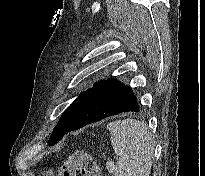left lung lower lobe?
Here are the masks:
<instances>
[{"instance_id": "obj_1", "label": "left lung lower lobe", "mask_w": 205, "mask_h": 176, "mask_svg": "<svg viewBox=\"0 0 205 176\" xmlns=\"http://www.w3.org/2000/svg\"><path fill=\"white\" fill-rule=\"evenodd\" d=\"M138 111V102L131 88L114 78L107 79L81 101L65 134L112 115Z\"/></svg>"}]
</instances>
